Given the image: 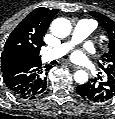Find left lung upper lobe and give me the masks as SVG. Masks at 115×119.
<instances>
[{
  "instance_id": "5c2ea615",
  "label": "left lung upper lobe",
  "mask_w": 115,
  "mask_h": 119,
  "mask_svg": "<svg viewBox=\"0 0 115 119\" xmlns=\"http://www.w3.org/2000/svg\"><path fill=\"white\" fill-rule=\"evenodd\" d=\"M90 14L95 18L101 25L102 30L106 36V52L102 55L104 65L102 66L107 76L115 79V23L107 16L90 11Z\"/></svg>"
}]
</instances>
